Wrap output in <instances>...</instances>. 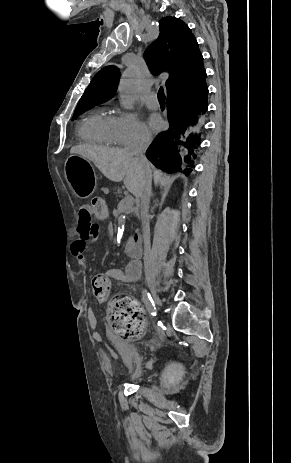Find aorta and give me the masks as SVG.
Returning <instances> with one entry per match:
<instances>
[{
  "label": "aorta",
  "instance_id": "1",
  "mask_svg": "<svg viewBox=\"0 0 291 463\" xmlns=\"http://www.w3.org/2000/svg\"><path fill=\"white\" fill-rule=\"evenodd\" d=\"M139 87V75L134 67L128 68L119 84L120 103L125 109H132Z\"/></svg>",
  "mask_w": 291,
  "mask_h": 463
}]
</instances>
